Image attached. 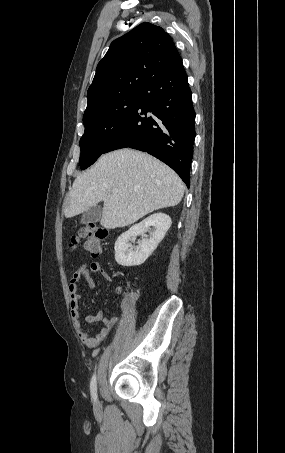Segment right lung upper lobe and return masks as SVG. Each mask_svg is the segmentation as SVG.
<instances>
[{
  "label": "right lung upper lobe",
  "mask_w": 285,
  "mask_h": 453,
  "mask_svg": "<svg viewBox=\"0 0 285 453\" xmlns=\"http://www.w3.org/2000/svg\"><path fill=\"white\" fill-rule=\"evenodd\" d=\"M182 63L163 28L141 23L114 40L98 63L85 111L124 94L141 92L154 78Z\"/></svg>",
  "instance_id": "cb5924a9"
}]
</instances>
